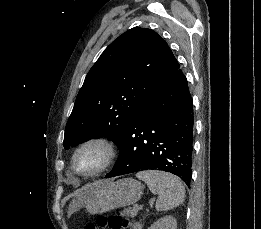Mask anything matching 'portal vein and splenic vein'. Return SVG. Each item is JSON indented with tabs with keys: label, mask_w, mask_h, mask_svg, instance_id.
Segmentation results:
<instances>
[{
	"label": "portal vein and splenic vein",
	"mask_w": 261,
	"mask_h": 229,
	"mask_svg": "<svg viewBox=\"0 0 261 229\" xmlns=\"http://www.w3.org/2000/svg\"><path fill=\"white\" fill-rule=\"evenodd\" d=\"M134 207L137 209H143L144 205H141L140 203H135Z\"/></svg>",
	"instance_id": "obj_1"
}]
</instances>
